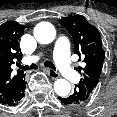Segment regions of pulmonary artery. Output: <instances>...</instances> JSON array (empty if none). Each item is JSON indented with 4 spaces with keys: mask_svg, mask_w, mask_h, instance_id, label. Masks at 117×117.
I'll list each match as a JSON object with an SVG mask.
<instances>
[{
    "mask_svg": "<svg viewBox=\"0 0 117 117\" xmlns=\"http://www.w3.org/2000/svg\"><path fill=\"white\" fill-rule=\"evenodd\" d=\"M53 55L56 66L62 75L71 81L78 80L79 75L70 61L69 42L67 39L63 37L56 39Z\"/></svg>",
    "mask_w": 117,
    "mask_h": 117,
    "instance_id": "1",
    "label": "pulmonary artery"
}]
</instances>
